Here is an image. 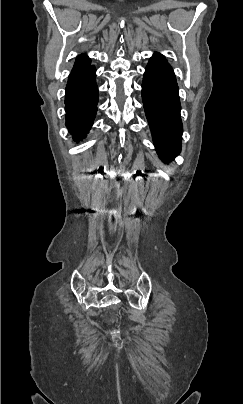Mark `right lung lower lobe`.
<instances>
[{
	"label": "right lung lower lobe",
	"instance_id": "right-lung-lower-lobe-1",
	"mask_svg": "<svg viewBox=\"0 0 243 404\" xmlns=\"http://www.w3.org/2000/svg\"><path fill=\"white\" fill-rule=\"evenodd\" d=\"M95 77L96 69L93 65L71 73L68 77L65 94L66 127L75 141L86 136L97 112L98 87Z\"/></svg>",
	"mask_w": 243,
	"mask_h": 404
}]
</instances>
